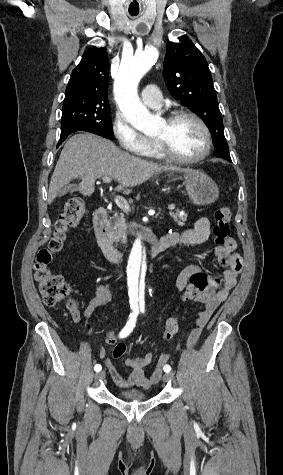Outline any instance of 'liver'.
Returning <instances> with one entry per match:
<instances>
[{
  "label": "liver",
  "instance_id": "obj_1",
  "mask_svg": "<svg viewBox=\"0 0 283 475\" xmlns=\"http://www.w3.org/2000/svg\"><path fill=\"white\" fill-rule=\"evenodd\" d=\"M161 170L173 172H191L187 168L161 166L146 162L141 158L130 156L128 152L119 150L113 142L94 136V134H76L66 142L52 174L48 190V204H52L58 192L75 178H81L78 186L80 194L91 196L95 192V180L98 178H114L119 182L117 192L130 194L138 184H143Z\"/></svg>",
  "mask_w": 283,
  "mask_h": 475
}]
</instances>
